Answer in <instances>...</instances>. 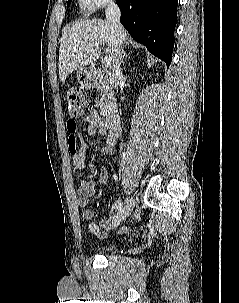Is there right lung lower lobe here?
Segmentation results:
<instances>
[{"label": "right lung lower lobe", "instance_id": "obj_1", "mask_svg": "<svg viewBox=\"0 0 239 303\" xmlns=\"http://www.w3.org/2000/svg\"><path fill=\"white\" fill-rule=\"evenodd\" d=\"M120 22L134 40L169 67L174 46L178 0H116Z\"/></svg>", "mask_w": 239, "mask_h": 303}]
</instances>
